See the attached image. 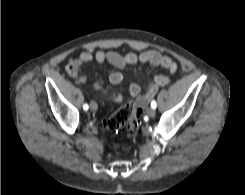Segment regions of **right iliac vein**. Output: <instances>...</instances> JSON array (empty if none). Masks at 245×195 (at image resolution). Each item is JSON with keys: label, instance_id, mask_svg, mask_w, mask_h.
Here are the masks:
<instances>
[{"label": "right iliac vein", "instance_id": "63e3f726", "mask_svg": "<svg viewBox=\"0 0 245 195\" xmlns=\"http://www.w3.org/2000/svg\"><path fill=\"white\" fill-rule=\"evenodd\" d=\"M97 108H98V105H97L96 102H91V103H90V109H91L92 111H96Z\"/></svg>", "mask_w": 245, "mask_h": 195}]
</instances>
